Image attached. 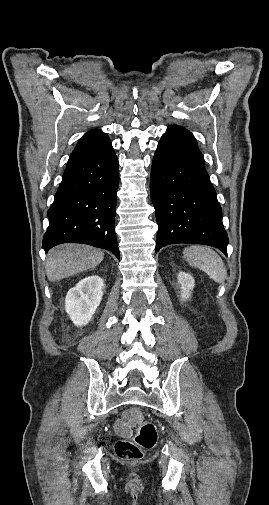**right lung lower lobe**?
Here are the masks:
<instances>
[{"label": "right lung lower lobe", "mask_w": 269, "mask_h": 505, "mask_svg": "<svg viewBox=\"0 0 269 505\" xmlns=\"http://www.w3.org/2000/svg\"><path fill=\"white\" fill-rule=\"evenodd\" d=\"M118 185V159L110 142L70 159L48 210L45 252L61 243H83L109 250L119 259L114 230Z\"/></svg>", "instance_id": "right-lung-lower-lobe-1"}]
</instances>
